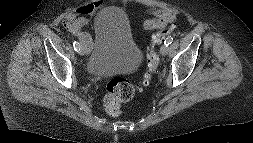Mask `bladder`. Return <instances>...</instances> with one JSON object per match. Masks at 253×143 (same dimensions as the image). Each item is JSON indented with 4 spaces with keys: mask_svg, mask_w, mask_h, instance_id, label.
<instances>
[{
    "mask_svg": "<svg viewBox=\"0 0 253 143\" xmlns=\"http://www.w3.org/2000/svg\"><path fill=\"white\" fill-rule=\"evenodd\" d=\"M94 31V43L85 63L89 74L106 77L138 67L143 52L133 38L124 9L109 6L99 11Z\"/></svg>",
    "mask_w": 253,
    "mask_h": 143,
    "instance_id": "31cf9c89",
    "label": "bladder"
}]
</instances>
